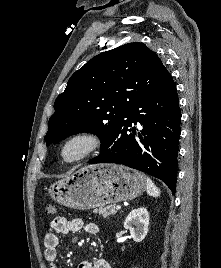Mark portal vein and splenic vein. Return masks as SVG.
Here are the masks:
<instances>
[{"label":"portal vein and splenic vein","mask_w":221,"mask_h":268,"mask_svg":"<svg viewBox=\"0 0 221 268\" xmlns=\"http://www.w3.org/2000/svg\"><path fill=\"white\" fill-rule=\"evenodd\" d=\"M116 209H117V210H120V209H121V206H120V205H117V206H116Z\"/></svg>","instance_id":"1"}]
</instances>
